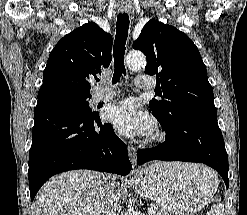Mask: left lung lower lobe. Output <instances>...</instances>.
<instances>
[{
    "label": "left lung lower lobe",
    "mask_w": 247,
    "mask_h": 215,
    "mask_svg": "<svg viewBox=\"0 0 247 215\" xmlns=\"http://www.w3.org/2000/svg\"><path fill=\"white\" fill-rule=\"evenodd\" d=\"M152 114L166 131V141L157 147L139 150L137 164L151 160L204 163L218 171L229 187L228 155L217 116L183 115L168 124Z\"/></svg>",
    "instance_id": "left-lung-lower-lobe-1"
}]
</instances>
